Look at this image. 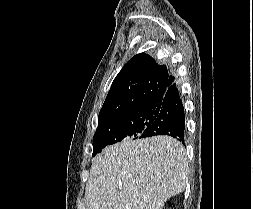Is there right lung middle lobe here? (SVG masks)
Returning a JSON list of instances; mask_svg holds the SVG:
<instances>
[{
  "instance_id": "dd1d6c3e",
  "label": "right lung middle lobe",
  "mask_w": 253,
  "mask_h": 209,
  "mask_svg": "<svg viewBox=\"0 0 253 209\" xmlns=\"http://www.w3.org/2000/svg\"><path fill=\"white\" fill-rule=\"evenodd\" d=\"M157 111L153 106L131 109L117 117L98 122L93 137V156L105 146L124 139H138L141 133L156 119Z\"/></svg>"
}]
</instances>
